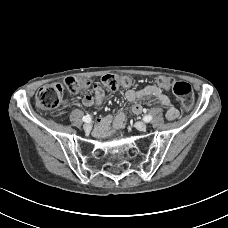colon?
<instances>
[{"instance_id": "obj_1", "label": "colon", "mask_w": 228, "mask_h": 228, "mask_svg": "<svg viewBox=\"0 0 228 228\" xmlns=\"http://www.w3.org/2000/svg\"><path fill=\"white\" fill-rule=\"evenodd\" d=\"M104 87L110 90L128 88L134 84L131 77L106 74L101 78ZM90 80L80 77H69L65 80L68 91L78 94L90 87ZM157 85L161 88H171L182 107L189 109L194 103L192 87L187 82H174L171 78L161 76L157 79ZM63 98V87L60 84H49L41 87L36 93V104L41 110L50 111L58 108Z\"/></svg>"}]
</instances>
